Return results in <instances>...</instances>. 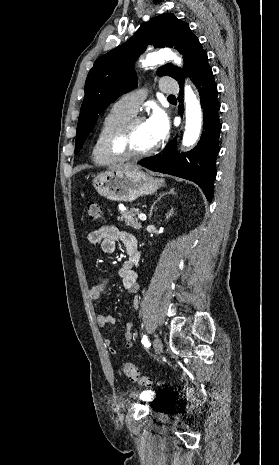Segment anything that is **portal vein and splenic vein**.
Returning a JSON list of instances; mask_svg holds the SVG:
<instances>
[{"mask_svg":"<svg viewBox=\"0 0 279 465\" xmlns=\"http://www.w3.org/2000/svg\"><path fill=\"white\" fill-rule=\"evenodd\" d=\"M138 218H139L140 220H142V221H145V220H146V215L143 214V213H140V214H138Z\"/></svg>","mask_w":279,"mask_h":465,"instance_id":"obj_1","label":"portal vein and splenic vein"}]
</instances>
